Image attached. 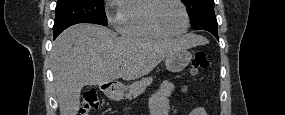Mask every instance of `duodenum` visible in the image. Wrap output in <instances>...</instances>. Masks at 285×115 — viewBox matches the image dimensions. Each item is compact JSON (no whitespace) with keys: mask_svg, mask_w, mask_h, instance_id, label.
I'll return each instance as SVG.
<instances>
[{"mask_svg":"<svg viewBox=\"0 0 285 115\" xmlns=\"http://www.w3.org/2000/svg\"><path fill=\"white\" fill-rule=\"evenodd\" d=\"M117 87V84L116 83H108L106 85L103 86V89L105 91H112L113 89H115Z\"/></svg>","mask_w":285,"mask_h":115,"instance_id":"obj_1","label":"duodenum"}]
</instances>
